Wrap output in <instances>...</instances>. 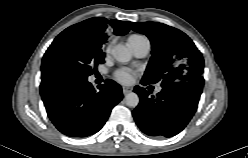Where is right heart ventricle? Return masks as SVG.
<instances>
[{
    "instance_id": "e07e8e85",
    "label": "right heart ventricle",
    "mask_w": 248,
    "mask_h": 158,
    "mask_svg": "<svg viewBox=\"0 0 248 158\" xmlns=\"http://www.w3.org/2000/svg\"><path fill=\"white\" fill-rule=\"evenodd\" d=\"M139 37H142V36L134 34V35H131L129 38H139Z\"/></svg>"
}]
</instances>
